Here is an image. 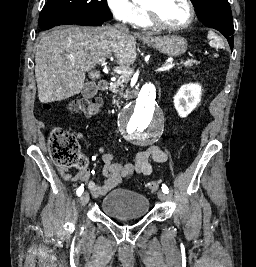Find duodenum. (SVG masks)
<instances>
[{"instance_id":"410a0bca","label":"duodenum","mask_w":256,"mask_h":267,"mask_svg":"<svg viewBox=\"0 0 256 267\" xmlns=\"http://www.w3.org/2000/svg\"><path fill=\"white\" fill-rule=\"evenodd\" d=\"M108 80L107 79H101L98 83V87L101 91H105L108 87ZM140 89H133L132 96H127V101H134V99L140 98Z\"/></svg>"}]
</instances>
